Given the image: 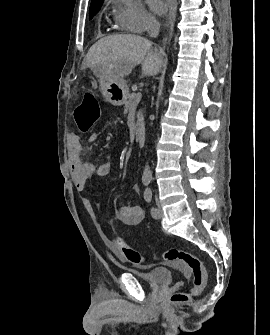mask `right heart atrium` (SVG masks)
<instances>
[{
	"mask_svg": "<svg viewBox=\"0 0 270 335\" xmlns=\"http://www.w3.org/2000/svg\"><path fill=\"white\" fill-rule=\"evenodd\" d=\"M118 25L127 31L142 34L143 25H158L155 18L137 0H114Z\"/></svg>",
	"mask_w": 270,
	"mask_h": 335,
	"instance_id": "obj_1",
	"label": "right heart atrium"
}]
</instances>
